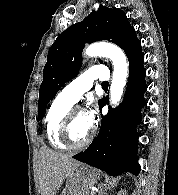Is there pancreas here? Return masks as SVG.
I'll list each match as a JSON object with an SVG mask.
<instances>
[{
	"mask_svg": "<svg viewBox=\"0 0 178 195\" xmlns=\"http://www.w3.org/2000/svg\"><path fill=\"white\" fill-rule=\"evenodd\" d=\"M87 195H93V193H92V192H90V193H88Z\"/></svg>",
	"mask_w": 178,
	"mask_h": 195,
	"instance_id": "cf45deb5",
	"label": "pancreas"
}]
</instances>
